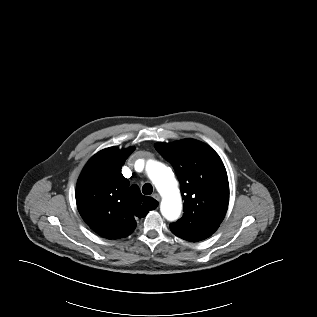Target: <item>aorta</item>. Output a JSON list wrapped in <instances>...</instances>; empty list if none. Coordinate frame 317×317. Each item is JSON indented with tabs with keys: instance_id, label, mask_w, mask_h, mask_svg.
<instances>
[{
	"instance_id": "obj_1",
	"label": "aorta",
	"mask_w": 317,
	"mask_h": 317,
	"mask_svg": "<svg viewBox=\"0 0 317 317\" xmlns=\"http://www.w3.org/2000/svg\"><path fill=\"white\" fill-rule=\"evenodd\" d=\"M145 164L146 176L162 196L160 205L162 216L169 221L176 220L182 211V199L172 169L156 159H147Z\"/></svg>"
}]
</instances>
